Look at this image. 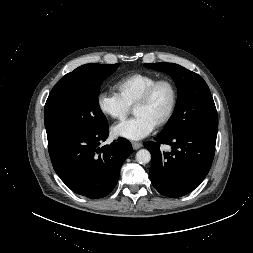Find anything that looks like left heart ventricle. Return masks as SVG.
I'll return each instance as SVG.
<instances>
[{"instance_id":"b2bd125f","label":"left heart ventricle","mask_w":253,"mask_h":253,"mask_svg":"<svg viewBox=\"0 0 253 253\" xmlns=\"http://www.w3.org/2000/svg\"><path fill=\"white\" fill-rule=\"evenodd\" d=\"M172 101V92L167 84L160 85L148 103L133 109L134 115L143 116L156 125L167 113Z\"/></svg>"}]
</instances>
